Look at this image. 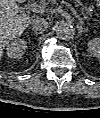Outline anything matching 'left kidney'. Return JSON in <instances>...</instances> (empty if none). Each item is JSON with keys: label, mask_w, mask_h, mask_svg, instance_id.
<instances>
[{"label": "left kidney", "mask_w": 100, "mask_h": 118, "mask_svg": "<svg viewBox=\"0 0 100 118\" xmlns=\"http://www.w3.org/2000/svg\"><path fill=\"white\" fill-rule=\"evenodd\" d=\"M88 52L91 56L99 58L100 57V39L94 38L88 42Z\"/></svg>", "instance_id": "5707ae66"}]
</instances>
